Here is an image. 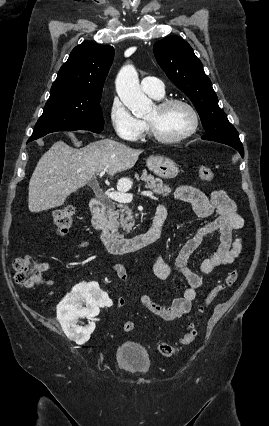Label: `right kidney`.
Instances as JSON below:
<instances>
[{
	"mask_svg": "<svg viewBox=\"0 0 269 426\" xmlns=\"http://www.w3.org/2000/svg\"><path fill=\"white\" fill-rule=\"evenodd\" d=\"M102 291L95 282L80 283L57 306V318L69 339L78 344L88 341L95 329V323L89 322L82 327L77 325L79 318L87 317L93 320V317L99 313V307L103 311L112 309V301ZM84 303H86L85 307H83Z\"/></svg>",
	"mask_w": 269,
	"mask_h": 426,
	"instance_id": "right-kidney-1",
	"label": "right kidney"
}]
</instances>
